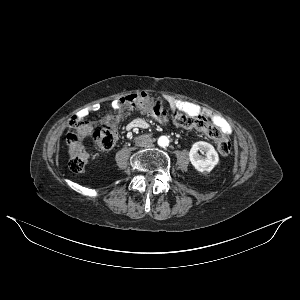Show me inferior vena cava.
Returning a JSON list of instances; mask_svg holds the SVG:
<instances>
[{"mask_svg":"<svg viewBox=\"0 0 300 300\" xmlns=\"http://www.w3.org/2000/svg\"><path fill=\"white\" fill-rule=\"evenodd\" d=\"M135 144L138 147H150L152 145V140L148 138H138Z\"/></svg>","mask_w":300,"mask_h":300,"instance_id":"inferior-vena-cava-1","label":"inferior vena cava"}]
</instances>
